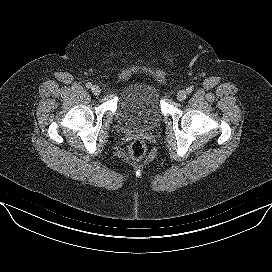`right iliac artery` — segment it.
Returning a JSON list of instances; mask_svg holds the SVG:
<instances>
[{"mask_svg":"<svg viewBox=\"0 0 272 272\" xmlns=\"http://www.w3.org/2000/svg\"><path fill=\"white\" fill-rule=\"evenodd\" d=\"M86 87L87 88H91L92 87V83H90V82L86 83Z\"/></svg>","mask_w":272,"mask_h":272,"instance_id":"obj_1","label":"right iliac artery"}]
</instances>
